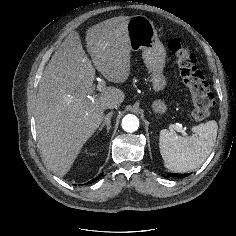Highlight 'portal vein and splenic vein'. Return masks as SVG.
<instances>
[{"mask_svg":"<svg viewBox=\"0 0 236 236\" xmlns=\"http://www.w3.org/2000/svg\"><path fill=\"white\" fill-rule=\"evenodd\" d=\"M105 83L104 80L102 79H98V85H97V89L99 91H102L104 89ZM93 100V97H90ZM173 129H175L177 132L182 133L183 135L186 136V132L185 130L182 128L181 124H176V125H171Z\"/></svg>","mask_w":236,"mask_h":236,"instance_id":"portal-vein-and-splenic-vein-1","label":"portal vein and splenic vein"}]
</instances>
